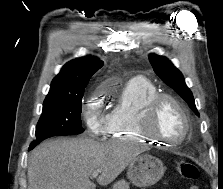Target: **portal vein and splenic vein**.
<instances>
[{
  "mask_svg": "<svg viewBox=\"0 0 223 189\" xmlns=\"http://www.w3.org/2000/svg\"><path fill=\"white\" fill-rule=\"evenodd\" d=\"M99 173H100L99 170H96V171L92 172L91 178H96L99 175Z\"/></svg>",
  "mask_w": 223,
  "mask_h": 189,
  "instance_id": "1",
  "label": "portal vein and splenic vein"
}]
</instances>
